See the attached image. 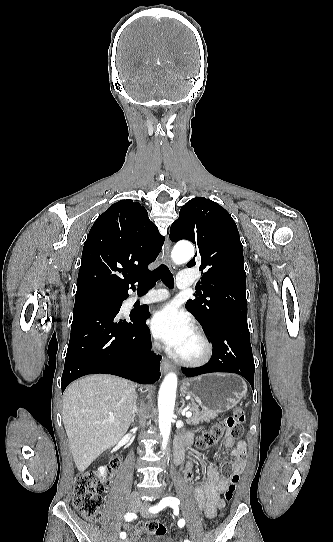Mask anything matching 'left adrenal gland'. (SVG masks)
I'll use <instances>...</instances> for the list:
<instances>
[{
    "mask_svg": "<svg viewBox=\"0 0 333 542\" xmlns=\"http://www.w3.org/2000/svg\"><path fill=\"white\" fill-rule=\"evenodd\" d=\"M184 406H185V400H182V406H181V408H179V414H180V412H182Z\"/></svg>",
    "mask_w": 333,
    "mask_h": 542,
    "instance_id": "1",
    "label": "left adrenal gland"
}]
</instances>
